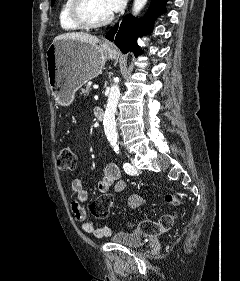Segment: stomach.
Listing matches in <instances>:
<instances>
[{"mask_svg":"<svg viewBox=\"0 0 240 281\" xmlns=\"http://www.w3.org/2000/svg\"><path fill=\"white\" fill-rule=\"evenodd\" d=\"M117 56L109 44L100 45L75 39L53 41L46 53L48 82L60 104H70L75 92L99 75L108 59Z\"/></svg>","mask_w":240,"mask_h":281,"instance_id":"1","label":"stomach"}]
</instances>
